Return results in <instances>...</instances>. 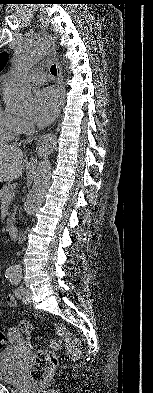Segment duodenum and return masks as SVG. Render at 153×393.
Instances as JSON below:
<instances>
[{"label":"duodenum","mask_w":153,"mask_h":393,"mask_svg":"<svg viewBox=\"0 0 153 393\" xmlns=\"http://www.w3.org/2000/svg\"><path fill=\"white\" fill-rule=\"evenodd\" d=\"M17 232H18V228L15 224H11L8 226V233L10 237L16 238Z\"/></svg>","instance_id":"410a0bca"}]
</instances>
